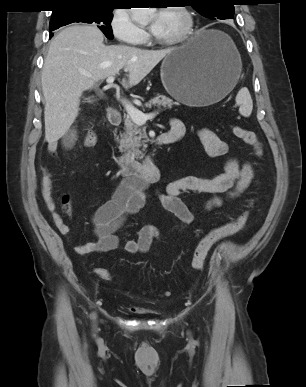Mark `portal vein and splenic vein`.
Masks as SVG:
<instances>
[{
	"instance_id": "18ae733b",
	"label": "portal vein and splenic vein",
	"mask_w": 306,
	"mask_h": 387,
	"mask_svg": "<svg viewBox=\"0 0 306 387\" xmlns=\"http://www.w3.org/2000/svg\"><path fill=\"white\" fill-rule=\"evenodd\" d=\"M115 78L113 76L107 78V83L112 84ZM122 104L127 112L128 117L137 125H144L148 119H152L156 116V113L144 114L135 108L131 103L126 100H122Z\"/></svg>"
}]
</instances>
